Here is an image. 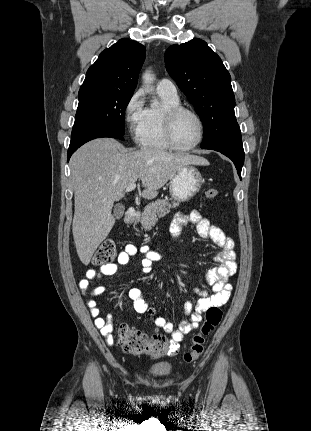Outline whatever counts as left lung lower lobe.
Returning <instances> with one entry per match:
<instances>
[{
	"label": "left lung lower lobe",
	"instance_id": "1",
	"mask_svg": "<svg viewBox=\"0 0 311 431\" xmlns=\"http://www.w3.org/2000/svg\"><path fill=\"white\" fill-rule=\"evenodd\" d=\"M203 149H210L221 152L230 158L237 169V173L241 178V169L244 164V150L241 137H233L217 142L215 144L204 147Z\"/></svg>",
	"mask_w": 311,
	"mask_h": 431
}]
</instances>
